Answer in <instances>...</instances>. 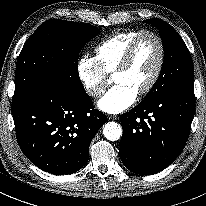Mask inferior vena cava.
Instances as JSON below:
<instances>
[{
	"instance_id": "602c4592",
	"label": "inferior vena cava",
	"mask_w": 206,
	"mask_h": 206,
	"mask_svg": "<svg viewBox=\"0 0 206 206\" xmlns=\"http://www.w3.org/2000/svg\"><path fill=\"white\" fill-rule=\"evenodd\" d=\"M94 94H101V92L95 90Z\"/></svg>"
}]
</instances>
